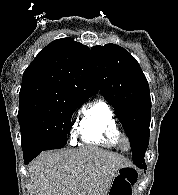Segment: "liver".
I'll use <instances>...</instances> for the list:
<instances>
[{"label":"liver","mask_w":178,"mask_h":195,"mask_svg":"<svg viewBox=\"0 0 178 195\" xmlns=\"http://www.w3.org/2000/svg\"><path fill=\"white\" fill-rule=\"evenodd\" d=\"M129 165L123 156L86 146L43 152L29 174L35 195H107L117 171Z\"/></svg>","instance_id":"6515ba94"}]
</instances>
